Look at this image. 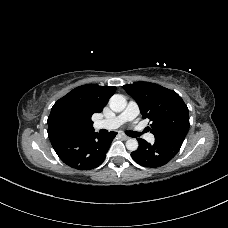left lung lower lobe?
Returning <instances> with one entry per match:
<instances>
[{
    "instance_id": "1",
    "label": "left lung lower lobe",
    "mask_w": 228,
    "mask_h": 228,
    "mask_svg": "<svg viewBox=\"0 0 228 228\" xmlns=\"http://www.w3.org/2000/svg\"><path fill=\"white\" fill-rule=\"evenodd\" d=\"M184 139L178 137H156L155 143L150 144L138 139L139 147L131 153L138 164L156 168L167 164L180 150Z\"/></svg>"
}]
</instances>
